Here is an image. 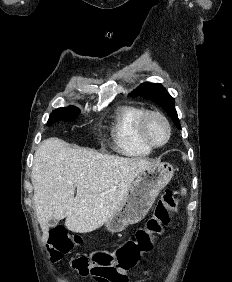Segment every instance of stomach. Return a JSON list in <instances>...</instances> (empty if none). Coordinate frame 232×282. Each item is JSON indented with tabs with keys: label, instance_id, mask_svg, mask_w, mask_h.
<instances>
[{
	"label": "stomach",
	"instance_id": "0dacf381",
	"mask_svg": "<svg viewBox=\"0 0 232 282\" xmlns=\"http://www.w3.org/2000/svg\"><path fill=\"white\" fill-rule=\"evenodd\" d=\"M173 174V166L166 162L153 163L142 170L120 206L105 223V228L112 233H117L128 225L141 221L159 192L170 182Z\"/></svg>",
	"mask_w": 232,
	"mask_h": 282
}]
</instances>
